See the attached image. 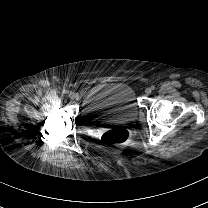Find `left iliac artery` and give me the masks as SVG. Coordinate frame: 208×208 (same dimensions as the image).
Listing matches in <instances>:
<instances>
[{"label": "left iliac artery", "instance_id": "1", "mask_svg": "<svg viewBox=\"0 0 208 208\" xmlns=\"http://www.w3.org/2000/svg\"><path fill=\"white\" fill-rule=\"evenodd\" d=\"M151 89H152V90H154V89H155V86H154V85H152V86H151Z\"/></svg>", "mask_w": 208, "mask_h": 208}]
</instances>
